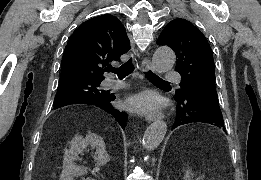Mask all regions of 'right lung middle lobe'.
Wrapping results in <instances>:
<instances>
[{
	"mask_svg": "<svg viewBox=\"0 0 261 180\" xmlns=\"http://www.w3.org/2000/svg\"><path fill=\"white\" fill-rule=\"evenodd\" d=\"M99 80L73 79L59 81V87L54 99V107H58L64 101L73 97L85 96L88 98L99 97L105 91H100L97 87Z\"/></svg>",
	"mask_w": 261,
	"mask_h": 180,
	"instance_id": "1",
	"label": "right lung middle lobe"
}]
</instances>
